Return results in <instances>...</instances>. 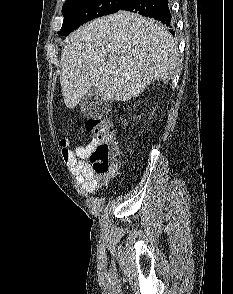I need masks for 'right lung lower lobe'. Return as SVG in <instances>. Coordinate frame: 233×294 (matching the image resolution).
<instances>
[{"mask_svg": "<svg viewBox=\"0 0 233 294\" xmlns=\"http://www.w3.org/2000/svg\"><path fill=\"white\" fill-rule=\"evenodd\" d=\"M120 10L139 13L140 15L154 18L166 26L173 28L172 16L168 6V0H126ZM174 35V30L170 29Z\"/></svg>", "mask_w": 233, "mask_h": 294, "instance_id": "right-lung-lower-lobe-1", "label": "right lung lower lobe"}]
</instances>
